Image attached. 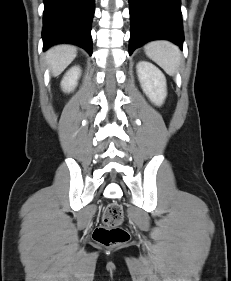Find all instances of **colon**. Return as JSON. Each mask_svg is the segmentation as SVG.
<instances>
[{
  "label": "colon",
  "instance_id": "5ec220e1",
  "mask_svg": "<svg viewBox=\"0 0 231 281\" xmlns=\"http://www.w3.org/2000/svg\"><path fill=\"white\" fill-rule=\"evenodd\" d=\"M124 218L118 203L108 204L102 214V223L93 233L94 240L105 247H116L129 240V233L121 227Z\"/></svg>",
  "mask_w": 231,
  "mask_h": 281
}]
</instances>
